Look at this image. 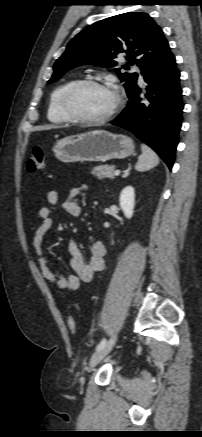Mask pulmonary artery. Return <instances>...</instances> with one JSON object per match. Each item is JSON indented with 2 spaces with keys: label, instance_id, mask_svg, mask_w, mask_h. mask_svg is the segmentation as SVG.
<instances>
[{
  "label": "pulmonary artery",
  "instance_id": "1",
  "mask_svg": "<svg viewBox=\"0 0 202 437\" xmlns=\"http://www.w3.org/2000/svg\"><path fill=\"white\" fill-rule=\"evenodd\" d=\"M134 70L135 71H138V73H139V70L137 69V67H134ZM139 79L142 81L143 80V77H142V75L139 73Z\"/></svg>",
  "mask_w": 202,
  "mask_h": 437
}]
</instances>
